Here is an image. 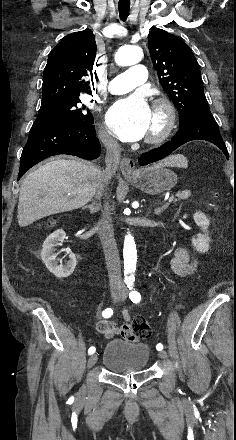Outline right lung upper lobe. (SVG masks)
Returning <instances> with one entry per match:
<instances>
[{
	"label": "right lung upper lobe",
	"instance_id": "1",
	"mask_svg": "<svg viewBox=\"0 0 236 440\" xmlns=\"http://www.w3.org/2000/svg\"><path fill=\"white\" fill-rule=\"evenodd\" d=\"M95 36L90 29L62 38L48 56L43 73L41 105L79 97L88 89L96 57Z\"/></svg>",
	"mask_w": 236,
	"mask_h": 440
}]
</instances>
